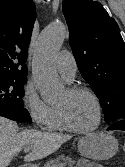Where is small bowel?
I'll use <instances>...</instances> for the list:
<instances>
[{"label": "small bowel", "instance_id": "1", "mask_svg": "<svg viewBox=\"0 0 125 167\" xmlns=\"http://www.w3.org/2000/svg\"><path fill=\"white\" fill-rule=\"evenodd\" d=\"M75 167H102L97 163H91L87 160H80Z\"/></svg>", "mask_w": 125, "mask_h": 167}]
</instances>
